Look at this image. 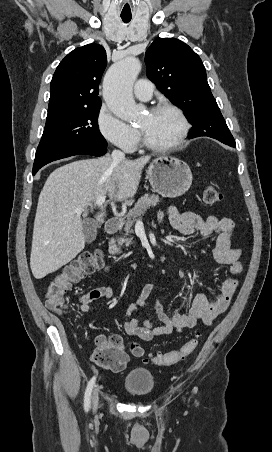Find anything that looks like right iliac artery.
<instances>
[{"label": "right iliac artery", "instance_id": "obj_1", "mask_svg": "<svg viewBox=\"0 0 272 452\" xmlns=\"http://www.w3.org/2000/svg\"><path fill=\"white\" fill-rule=\"evenodd\" d=\"M95 380H96V378L93 377V378L88 382V385H87V388H86V391H85V396H84V408H85L86 411H88L89 408H90L91 393H92L93 386H94V384H95Z\"/></svg>", "mask_w": 272, "mask_h": 452}]
</instances>
